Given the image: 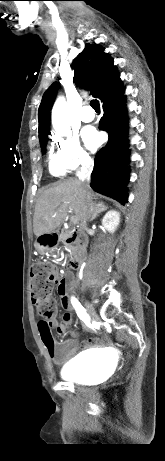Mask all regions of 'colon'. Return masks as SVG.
<instances>
[{"instance_id": "colon-1", "label": "colon", "mask_w": 165, "mask_h": 461, "mask_svg": "<svg viewBox=\"0 0 165 461\" xmlns=\"http://www.w3.org/2000/svg\"><path fill=\"white\" fill-rule=\"evenodd\" d=\"M30 274L32 302L44 318L40 323L41 336L46 345L53 347L54 338L47 320L56 315L57 306L51 298V293L58 283V277L62 276L54 265L42 261L32 264Z\"/></svg>"}]
</instances>
